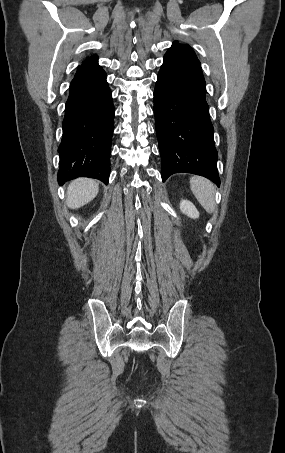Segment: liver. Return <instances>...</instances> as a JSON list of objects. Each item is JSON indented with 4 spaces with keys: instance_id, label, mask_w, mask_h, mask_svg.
Segmentation results:
<instances>
[{
    "instance_id": "obj_1",
    "label": "liver",
    "mask_w": 285,
    "mask_h": 453,
    "mask_svg": "<svg viewBox=\"0 0 285 453\" xmlns=\"http://www.w3.org/2000/svg\"><path fill=\"white\" fill-rule=\"evenodd\" d=\"M98 183L90 178H78L72 181L67 188V205L71 209H78L98 194Z\"/></svg>"
}]
</instances>
